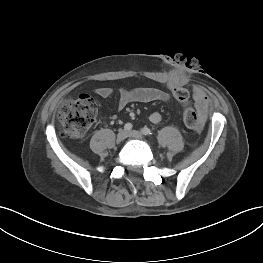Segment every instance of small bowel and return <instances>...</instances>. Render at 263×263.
<instances>
[{"instance_id":"obj_1","label":"small bowel","mask_w":263,"mask_h":263,"mask_svg":"<svg viewBox=\"0 0 263 263\" xmlns=\"http://www.w3.org/2000/svg\"><path fill=\"white\" fill-rule=\"evenodd\" d=\"M176 87L174 84H170V93L163 91L154 87H138L134 89H126L121 88L119 90V108L123 109L130 103L138 102V103H149L154 101L167 102L172 97L173 88ZM113 90L109 87H100L96 90V94L102 98H108L112 95ZM193 98L195 102V107L199 112V115L202 120H205L207 117L208 105L209 101L204 93V91L200 88H195L193 92ZM149 120L153 124H158L162 120V116L159 112H153L149 116Z\"/></svg>"}]
</instances>
